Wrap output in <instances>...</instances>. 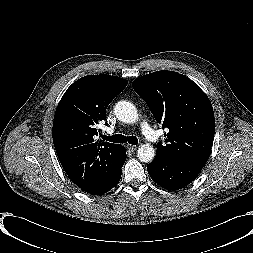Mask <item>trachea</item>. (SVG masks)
<instances>
[{
  "mask_svg": "<svg viewBox=\"0 0 253 253\" xmlns=\"http://www.w3.org/2000/svg\"><path fill=\"white\" fill-rule=\"evenodd\" d=\"M102 138L104 140L110 141V142H114V143H125L128 142L129 144L132 145H137L138 144V139L135 136H124L121 134H116L113 136H106L103 135Z\"/></svg>",
  "mask_w": 253,
  "mask_h": 253,
  "instance_id": "obj_1",
  "label": "trachea"
}]
</instances>
